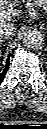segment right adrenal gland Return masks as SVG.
<instances>
[{"label":"right adrenal gland","instance_id":"obj_1","mask_svg":"<svg viewBox=\"0 0 47 129\" xmlns=\"http://www.w3.org/2000/svg\"><path fill=\"white\" fill-rule=\"evenodd\" d=\"M6 39H4V38H0V44H2L4 41H5Z\"/></svg>","mask_w":47,"mask_h":129}]
</instances>
